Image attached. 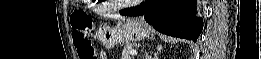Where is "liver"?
<instances>
[{
  "instance_id": "1",
  "label": "liver",
  "mask_w": 261,
  "mask_h": 59,
  "mask_svg": "<svg viewBox=\"0 0 261 59\" xmlns=\"http://www.w3.org/2000/svg\"><path fill=\"white\" fill-rule=\"evenodd\" d=\"M107 17L112 18V19H115V20H121V21H124V20H125L124 17L117 16V15H109V16H107Z\"/></svg>"
}]
</instances>
